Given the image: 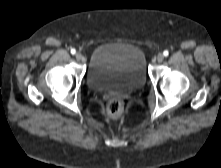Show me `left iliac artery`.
<instances>
[{
	"instance_id": "44dca946",
	"label": "left iliac artery",
	"mask_w": 221,
	"mask_h": 168,
	"mask_svg": "<svg viewBox=\"0 0 221 168\" xmlns=\"http://www.w3.org/2000/svg\"><path fill=\"white\" fill-rule=\"evenodd\" d=\"M163 55H164V56H168V55H169V52H168L167 50H165V51L163 52Z\"/></svg>"
}]
</instances>
